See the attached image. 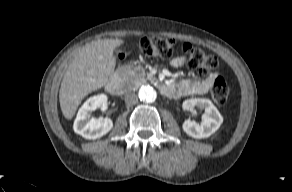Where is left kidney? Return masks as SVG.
<instances>
[{
    "instance_id": "obj_1",
    "label": "left kidney",
    "mask_w": 292,
    "mask_h": 192,
    "mask_svg": "<svg viewBox=\"0 0 292 192\" xmlns=\"http://www.w3.org/2000/svg\"><path fill=\"white\" fill-rule=\"evenodd\" d=\"M194 107L204 109L205 111L202 115L201 124L186 120L182 128L187 135L195 139L207 138L219 129L223 123V117L209 99L193 98L183 102L184 110H192Z\"/></svg>"
}]
</instances>
